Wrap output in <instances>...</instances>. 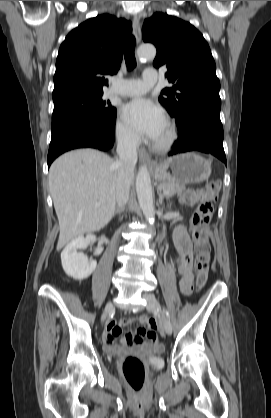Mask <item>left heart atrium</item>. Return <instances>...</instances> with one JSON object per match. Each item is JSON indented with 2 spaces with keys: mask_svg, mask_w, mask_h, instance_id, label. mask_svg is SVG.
<instances>
[{
  "mask_svg": "<svg viewBox=\"0 0 271 418\" xmlns=\"http://www.w3.org/2000/svg\"><path fill=\"white\" fill-rule=\"evenodd\" d=\"M127 123L139 134L156 140L166 126L163 111L148 99L139 98L124 108Z\"/></svg>",
  "mask_w": 271,
  "mask_h": 418,
  "instance_id": "1",
  "label": "left heart atrium"
}]
</instances>
